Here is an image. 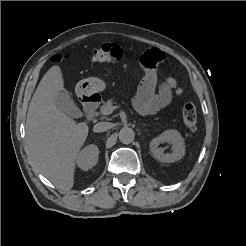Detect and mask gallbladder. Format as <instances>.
<instances>
[{"label":"gallbladder","instance_id":"1","mask_svg":"<svg viewBox=\"0 0 246 246\" xmlns=\"http://www.w3.org/2000/svg\"><path fill=\"white\" fill-rule=\"evenodd\" d=\"M55 103L58 109L68 116H71L73 118H79L80 116H82L80 109L77 107V105L66 90L58 92Z\"/></svg>","mask_w":246,"mask_h":246}]
</instances>
